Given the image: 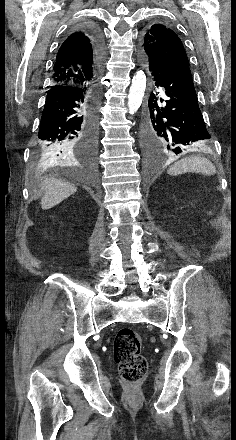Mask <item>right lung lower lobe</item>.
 Here are the masks:
<instances>
[{"mask_svg":"<svg viewBox=\"0 0 236 440\" xmlns=\"http://www.w3.org/2000/svg\"><path fill=\"white\" fill-rule=\"evenodd\" d=\"M79 29L86 31L90 38L97 78L87 86L66 85L48 90L36 153L43 154L49 161L59 160L67 164L78 161L85 167H93L98 139L99 80L106 49L96 26L88 24ZM73 143L78 149L74 155L70 151Z\"/></svg>","mask_w":236,"mask_h":440,"instance_id":"obj_1","label":"right lung lower lobe"}]
</instances>
